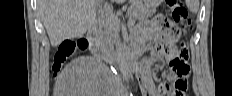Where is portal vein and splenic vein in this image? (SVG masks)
Masks as SVG:
<instances>
[{"label": "portal vein and splenic vein", "mask_w": 232, "mask_h": 96, "mask_svg": "<svg viewBox=\"0 0 232 96\" xmlns=\"http://www.w3.org/2000/svg\"><path fill=\"white\" fill-rule=\"evenodd\" d=\"M106 5H107V4H106ZM108 16H109L110 18H115V15H114L113 13H111V12H108ZM134 23H135L134 20L129 19V24H134Z\"/></svg>", "instance_id": "1"}]
</instances>
